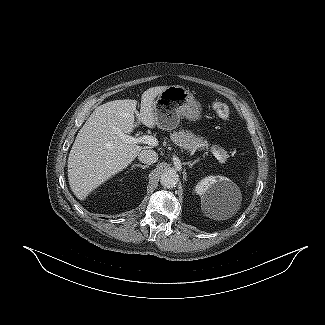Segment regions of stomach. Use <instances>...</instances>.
Returning <instances> with one entry per match:
<instances>
[{
    "label": "stomach",
    "mask_w": 325,
    "mask_h": 325,
    "mask_svg": "<svg viewBox=\"0 0 325 325\" xmlns=\"http://www.w3.org/2000/svg\"><path fill=\"white\" fill-rule=\"evenodd\" d=\"M156 125L163 130L175 129L180 117L198 121L202 117V106L185 87L170 85L153 102Z\"/></svg>",
    "instance_id": "1"
}]
</instances>
